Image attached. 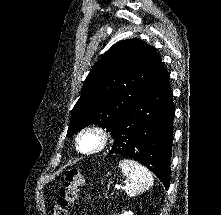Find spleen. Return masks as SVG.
<instances>
[{
	"mask_svg": "<svg viewBox=\"0 0 221 215\" xmlns=\"http://www.w3.org/2000/svg\"><path fill=\"white\" fill-rule=\"evenodd\" d=\"M123 174L130 179L125 192L129 196H135L147 190L153 184L152 174L147 168L130 159H123L119 162Z\"/></svg>",
	"mask_w": 221,
	"mask_h": 215,
	"instance_id": "3e777b00",
	"label": "spleen"
}]
</instances>
